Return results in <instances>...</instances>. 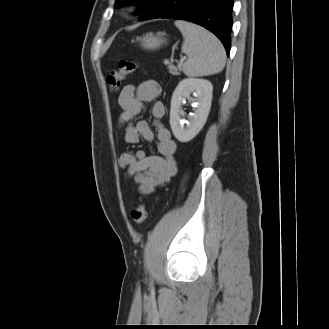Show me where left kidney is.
Returning <instances> with one entry per match:
<instances>
[{
	"instance_id": "obj_1",
	"label": "left kidney",
	"mask_w": 329,
	"mask_h": 329,
	"mask_svg": "<svg viewBox=\"0 0 329 329\" xmlns=\"http://www.w3.org/2000/svg\"><path fill=\"white\" fill-rule=\"evenodd\" d=\"M213 86L210 81L198 78H186L179 82L173 92L170 109V126L177 140L189 142L206 123L212 100ZM193 93L195 99L194 115L186 126L181 122L180 109L184 99H190Z\"/></svg>"
}]
</instances>
